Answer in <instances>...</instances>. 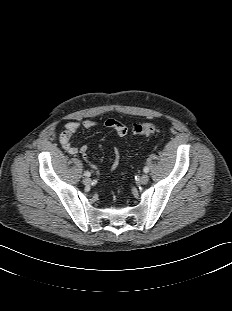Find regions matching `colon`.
I'll return each instance as SVG.
<instances>
[{
    "instance_id": "obj_1",
    "label": "colon",
    "mask_w": 232,
    "mask_h": 311,
    "mask_svg": "<svg viewBox=\"0 0 232 311\" xmlns=\"http://www.w3.org/2000/svg\"><path fill=\"white\" fill-rule=\"evenodd\" d=\"M133 132L137 135H153L159 132V126L153 122L138 123L133 126Z\"/></svg>"
}]
</instances>
